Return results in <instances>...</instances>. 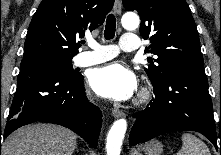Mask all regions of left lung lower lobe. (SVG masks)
Here are the masks:
<instances>
[{"label": "left lung lower lobe", "instance_id": "obj_1", "mask_svg": "<svg viewBox=\"0 0 221 155\" xmlns=\"http://www.w3.org/2000/svg\"><path fill=\"white\" fill-rule=\"evenodd\" d=\"M155 96L143 111L134 114L131 145L173 131H197L217 149V135L208 81L204 68L183 67L152 84ZM221 154V131H220Z\"/></svg>", "mask_w": 221, "mask_h": 155}]
</instances>
